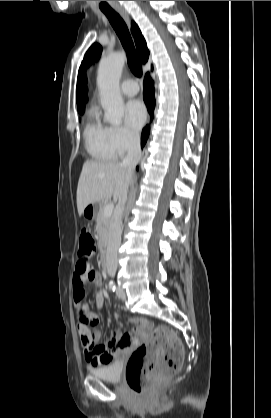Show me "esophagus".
Wrapping results in <instances>:
<instances>
[{
	"label": "esophagus",
	"mask_w": 271,
	"mask_h": 418,
	"mask_svg": "<svg viewBox=\"0 0 271 418\" xmlns=\"http://www.w3.org/2000/svg\"><path fill=\"white\" fill-rule=\"evenodd\" d=\"M116 11L124 18L128 25H130V18L128 13L123 8H116Z\"/></svg>",
	"instance_id": "34e87169"
}]
</instances>
